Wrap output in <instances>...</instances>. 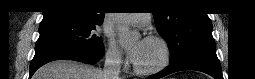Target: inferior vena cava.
<instances>
[{"instance_id":"1","label":"inferior vena cava","mask_w":255,"mask_h":79,"mask_svg":"<svg viewBox=\"0 0 255 79\" xmlns=\"http://www.w3.org/2000/svg\"><path fill=\"white\" fill-rule=\"evenodd\" d=\"M121 69V56L116 52L106 54L103 68L104 79H119Z\"/></svg>"}]
</instances>
